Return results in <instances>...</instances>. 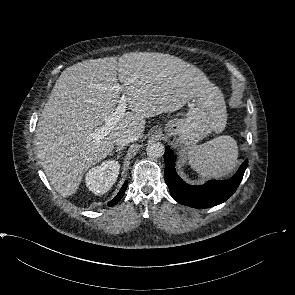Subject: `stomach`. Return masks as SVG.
Instances as JSON below:
<instances>
[{"mask_svg":"<svg viewBox=\"0 0 295 295\" xmlns=\"http://www.w3.org/2000/svg\"><path fill=\"white\" fill-rule=\"evenodd\" d=\"M227 120L223 94L211 83L198 91L181 119L169 120L165 132L183 147L195 146L211 132H221Z\"/></svg>","mask_w":295,"mask_h":295,"instance_id":"0dacf381","label":"stomach"}]
</instances>
